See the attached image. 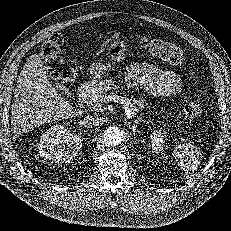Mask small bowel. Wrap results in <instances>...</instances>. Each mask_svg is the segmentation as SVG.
<instances>
[{
  "instance_id": "obj_1",
  "label": "small bowel",
  "mask_w": 231,
  "mask_h": 231,
  "mask_svg": "<svg viewBox=\"0 0 231 231\" xmlns=\"http://www.w3.org/2000/svg\"><path fill=\"white\" fill-rule=\"evenodd\" d=\"M126 80L154 96L176 95L181 90V79L176 72L161 70L147 62L131 64Z\"/></svg>"
}]
</instances>
